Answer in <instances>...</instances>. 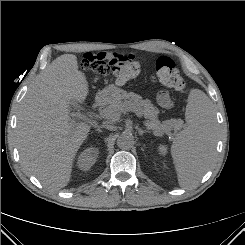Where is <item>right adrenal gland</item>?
I'll return each instance as SVG.
<instances>
[{
    "mask_svg": "<svg viewBox=\"0 0 245 245\" xmlns=\"http://www.w3.org/2000/svg\"><path fill=\"white\" fill-rule=\"evenodd\" d=\"M96 131H97V132H102V130L100 129V127H98V128L96 129Z\"/></svg>",
    "mask_w": 245,
    "mask_h": 245,
    "instance_id": "right-adrenal-gland-1",
    "label": "right adrenal gland"
}]
</instances>
